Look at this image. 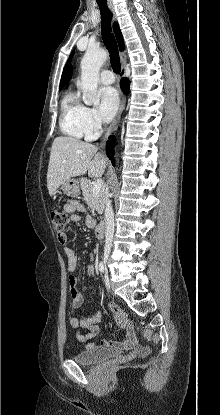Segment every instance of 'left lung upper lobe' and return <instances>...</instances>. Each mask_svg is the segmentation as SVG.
<instances>
[{
    "instance_id": "obj_1",
    "label": "left lung upper lobe",
    "mask_w": 220,
    "mask_h": 415,
    "mask_svg": "<svg viewBox=\"0 0 220 415\" xmlns=\"http://www.w3.org/2000/svg\"><path fill=\"white\" fill-rule=\"evenodd\" d=\"M73 54H74V52H72V53H71L70 58H69V61L71 60V58H72Z\"/></svg>"
}]
</instances>
